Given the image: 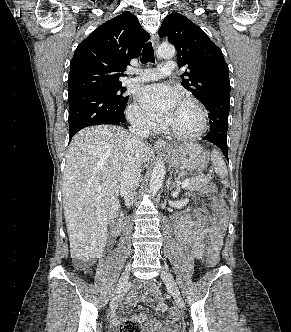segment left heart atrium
I'll use <instances>...</instances> for the list:
<instances>
[{"mask_svg":"<svg viewBox=\"0 0 291 332\" xmlns=\"http://www.w3.org/2000/svg\"><path fill=\"white\" fill-rule=\"evenodd\" d=\"M137 98L147 115L160 123L169 124L180 102L176 89L166 84H151L141 87Z\"/></svg>","mask_w":291,"mask_h":332,"instance_id":"obj_1","label":"left heart atrium"}]
</instances>
